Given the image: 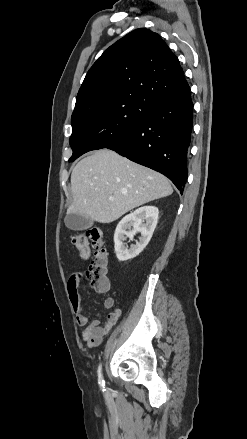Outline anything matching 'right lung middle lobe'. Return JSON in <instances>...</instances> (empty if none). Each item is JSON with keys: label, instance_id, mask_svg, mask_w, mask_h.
Masks as SVG:
<instances>
[{"label": "right lung middle lobe", "instance_id": "1", "mask_svg": "<svg viewBox=\"0 0 247 439\" xmlns=\"http://www.w3.org/2000/svg\"><path fill=\"white\" fill-rule=\"evenodd\" d=\"M147 110L143 103L118 100L72 115L69 143L73 155L69 161L88 151L113 145L137 126Z\"/></svg>", "mask_w": 247, "mask_h": 439}]
</instances>
